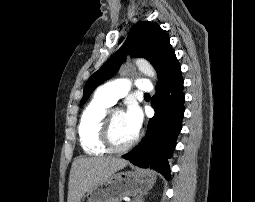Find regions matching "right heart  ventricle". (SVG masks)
Masks as SVG:
<instances>
[{"label":"right heart ventricle","instance_id":"obj_1","mask_svg":"<svg viewBox=\"0 0 255 202\" xmlns=\"http://www.w3.org/2000/svg\"><path fill=\"white\" fill-rule=\"evenodd\" d=\"M110 105L95 94L82 113L78 127L79 138L83 150L90 155H102L108 151L100 141V129Z\"/></svg>","mask_w":255,"mask_h":202}]
</instances>
